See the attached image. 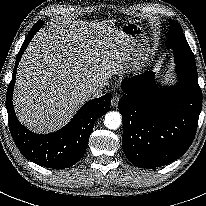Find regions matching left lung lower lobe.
Returning <instances> with one entry per match:
<instances>
[{"instance_id":"1","label":"left lung lower lobe","mask_w":206,"mask_h":206,"mask_svg":"<svg viewBox=\"0 0 206 206\" xmlns=\"http://www.w3.org/2000/svg\"><path fill=\"white\" fill-rule=\"evenodd\" d=\"M178 83L159 87L147 71L122 83L118 103L123 118L122 145L137 167L154 168L182 156L198 126L202 92L196 67L176 61Z\"/></svg>"}]
</instances>
